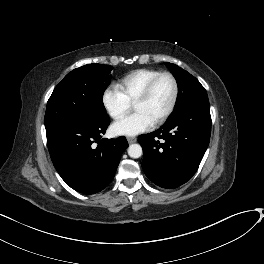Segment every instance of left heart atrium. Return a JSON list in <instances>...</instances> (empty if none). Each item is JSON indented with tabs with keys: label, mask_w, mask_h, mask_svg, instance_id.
Instances as JSON below:
<instances>
[{
	"label": "left heart atrium",
	"mask_w": 264,
	"mask_h": 264,
	"mask_svg": "<svg viewBox=\"0 0 264 264\" xmlns=\"http://www.w3.org/2000/svg\"><path fill=\"white\" fill-rule=\"evenodd\" d=\"M154 122L144 113L135 112L126 116L113 125V130L118 135L134 136L149 130Z\"/></svg>",
	"instance_id": "left-heart-atrium-1"
}]
</instances>
